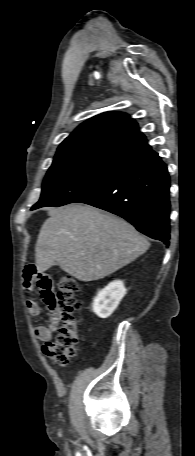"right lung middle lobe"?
I'll list each match as a JSON object with an SVG mask.
<instances>
[{"label": "right lung middle lobe", "instance_id": "right-lung-middle-lobe-1", "mask_svg": "<svg viewBox=\"0 0 195 456\" xmlns=\"http://www.w3.org/2000/svg\"><path fill=\"white\" fill-rule=\"evenodd\" d=\"M122 169L94 161L53 163L43 181L41 198L32 209L76 202L105 185Z\"/></svg>", "mask_w": 195, "mask_h": 456}]
</instances>
